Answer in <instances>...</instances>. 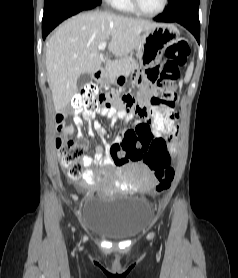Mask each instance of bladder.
Listing matches in <instances>:
<instances>
[{
    "mask_svg": "<svg viewBox=\"0 0 238 278\" xmlns=\"http://www.w3.org/2000/svg\"><path fill=\"white\" fill-rule=\"evenodd\" d=\"M153 210L148 199L118 193L107 197H88L81 215L83 227L101 237L125 240L145 231Z\"/></svg>",
    "mask_w": 238,
    "mask_h": 278,
    "instance_id": "obj_1",
    "label": "bladder"
}]
</instances>
